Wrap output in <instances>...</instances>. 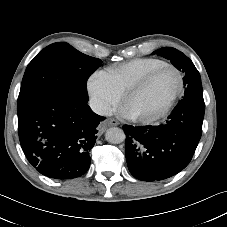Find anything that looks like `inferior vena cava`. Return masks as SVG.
Instances as JSON below:
<instances>
[{"mask_svg":"<svg viewBox=\"0 0 227 227\" xmlns=\"http://www.w3.org/2000/svg\"><path fill=\"white\" fill-rule=\"evenodd\" d=\"M89 106L92 111L98 115L106 116L111 113V107L106 102L98 98H91Z\"/></svg>","mask_w":227,"mask_h":227,"instance_id":"obj_1","label":"inferior vena cava"}]
</instances>
